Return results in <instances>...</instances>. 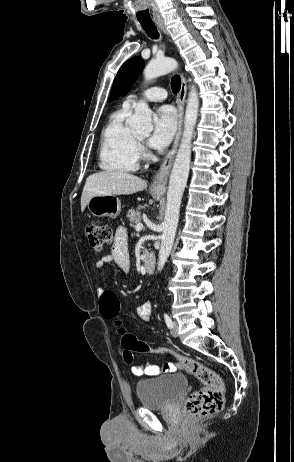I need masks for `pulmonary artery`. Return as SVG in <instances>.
<instances>
[{
  "label": "pulmonary artery",
  "instance_id": "e3ab8cb5",
  "mask_svg": "<svg viewBox=\"0 0 294 462\" xmlns=\"http://www.w3.org/2000/svg\"><path fill=\"white\" fill-rule=\"evenodd\" d=\"M167 95L168 92L165 88L154 86L144 90L138 95H129L124 101V105L130 107L134 105L140 98L145 99L147 101H162L167 97Z\"/></svg>",
  "mask_w": 294,
  "mask_h": 462
}]
</instances>
